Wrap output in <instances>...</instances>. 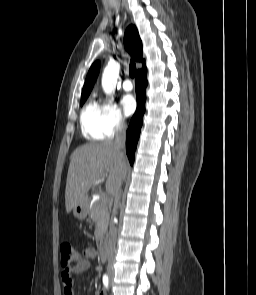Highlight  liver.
Here are the masks:
<instances>
[{
    "mask_svg": "<svg viewBox=\"0 0 256 295\" xmlns=\"http://www.w3.org/2000/svg\"><path fill=\"white\" fill-rule=\"evenodd\" d=\"M127 160L113 142L89 143L71 155L65 189V207L69 213L75 206L86 203L89 189L107 176L106 191L111 195L117 181L122 182Z\"/></svg>",
    "mask_w": 256,
    "mask_h": 295,
    "instance_id": "6515ba94",
    "label": "liver"
}]
</instances>
